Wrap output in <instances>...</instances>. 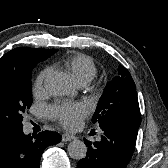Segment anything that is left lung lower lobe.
<instances>
[{
  "mask_svg": "<svg viewBox=\"0 0 168 168\" xmlns=\"http://www.w3.org/2000/svg\"><path fill=\"white\" fill-rule=\"evenodd\" d=\"M100 127L103 130L100 141L92 143L84 138L88 150L78 168H126L135 149L138 129L119 121Z\"/></svg>",
  "mask_w": 168,
  "mask_h": 168,
  "instance_id": "0a47b994",
  "label": "left lung lower lobe"
}]
</instances>
